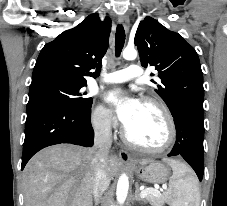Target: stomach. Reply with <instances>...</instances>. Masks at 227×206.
I'll use <instances>...</instances> for the list:
<instances>
[{"label":"stomach","instance_id":"1","mask_svg":"<svg viewBox=\"0 0 227 206\" xmlns=\"http://www.w3.org/2000/svg\"><path fill=\"white\" fill-rule=\"evenodd\" d=\"M135 174L143 181L148 183H165L170 171L168 167L158 161H141L139 166H134Z\"/></svg>","mask_w":227,"mask_h":206}]
</instances>
